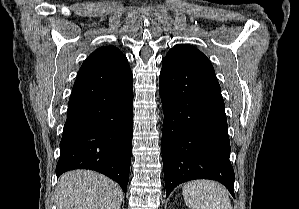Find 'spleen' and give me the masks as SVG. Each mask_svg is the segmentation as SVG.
Here are the masks:
<instances>
[{
  "label": "spleen",
  "mask_w": 299,
  "mask_h": 209,
  "mask_svg": "<svg viewBox=\"0 0 299 209\" xmlns=\"http://www.w3.org/2000/svg\"><path fill=\"white\" fill-rule=\"evenodd\" d=\"M183 198L190 209H232L228 191L211 180H194L183 187Z\"/></svg>",
  "instance_id": "spleen-1"
}]
</instances>
